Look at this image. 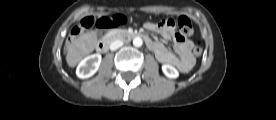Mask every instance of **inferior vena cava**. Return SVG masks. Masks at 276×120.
Masks as SVG:
<instances>
[{"label":"inferior vena cava","mask_w":276,"mask_h":120,"mask_svg":"<svg viewBox=\"0 0 276 120\" xmlns=\"http://www.w3.org/2000/svg\"><path fill=\"white\" fill-rule=\"evenodd\" d=\"M123 45L121 40H116L110 44V50L115 51Z\"/></svg>","instance_id":"obj_1"}]
</instances>
